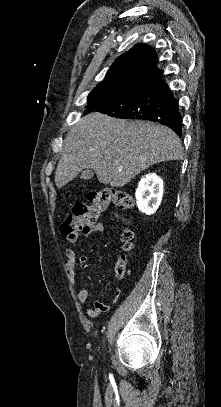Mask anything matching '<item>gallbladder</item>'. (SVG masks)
<instances>
[{
    "label": "gallbladder",
    "mask_w": 221,
    "mask_h": 407,
    "mask_svg": "<svg viewBox=\"0 0 221 407\" xmlns=\"http://www.w3.org/2000/svg\"><path fill=\"white\" fill-rule=\"evenodd\" d=\"M94 176V171L91 169H86L81 173L82 179H90Z\"/></svg>",
    "instance_id": "obj_1"
}]
</instances>
